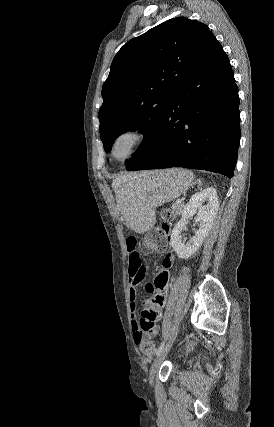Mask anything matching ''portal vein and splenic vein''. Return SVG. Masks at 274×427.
Here are the masks:
<instances>
[{"label":"portal vein and splenic vein","instance_id":"1","mask_svg":"<svg viewBox=\"0 0 274 427\" xmlns=\"http://www.w3.org/2000/svg\"><path fill=\"white\" fill-rule=\"evenodd\" d=\"M176 204H181V200H177Z\"/></svg>","mask_w":274,"mask_h":427}]
</instances>
